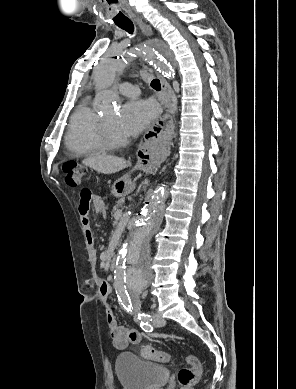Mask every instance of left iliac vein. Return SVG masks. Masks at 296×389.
<instances>
[{
  "label": "left iliac vein",
  "instance_id": "obj_1",
  "mask_svg": "<svg viewBox=\"0 0 296 389\" xmlns=\"http://www.w3.org/2000/svg\"><path fill=\"white\" fill-rule=\"evenodd\" d=\"M166 323L165 319L159 314V313H154L153 314V324L157 327H162Z\"/></svg>",
  "mask_w": 296,
  "mask_h": 389
}]
</instances>
